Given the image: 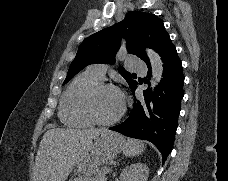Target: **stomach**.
Segmentation results:
<instances>
[{"label": "stomach", "instance_id": "stomach-1", "mask_svg": "<svg viewBox=\"0 0 228 181\" xmlns=\"http://www.w3.org/2000/svg\"><path fill=\"white\" fill-rule=\"evenodd\" d=\"M125 139L122 135L111 133L103 129L100 133L93 135L90 145L79 155L75 165V173L80 175H96L100 171V165L115 159L116 155L123 149Z\"/></svg>", "mask_w": 228, "mask_h": 181}]
</instances>
